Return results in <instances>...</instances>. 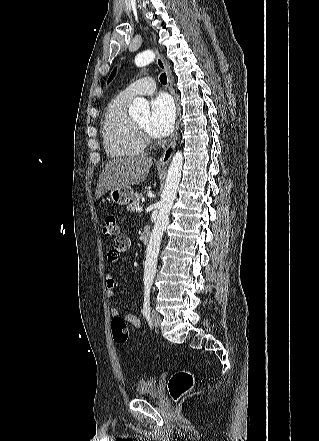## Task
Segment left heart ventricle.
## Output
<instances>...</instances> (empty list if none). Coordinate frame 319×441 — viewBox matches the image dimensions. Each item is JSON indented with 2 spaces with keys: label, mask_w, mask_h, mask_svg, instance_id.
<instances>
[{
  "label": "left heart ventricle",
  "mask_w": 319,
  "mask_h": 441,
  "mask_svg": "<svg viewBox=\"0 0 319 441\" xmlns=\"http://www.w3.org/2000/svg\"><path fill=\"white\" fill-rule=\"evenodd\" d=\"M149 122H150L149 118H145V119H143V120H140V121L138 122V124H139L141 127H143L145 130L148 131Z\"/></svg>",
  "instance_id": "1"
}]
</instances>
